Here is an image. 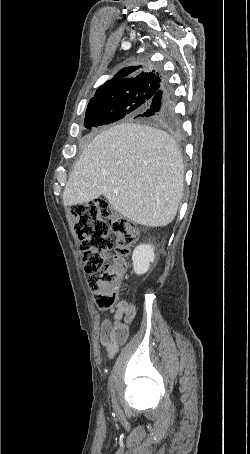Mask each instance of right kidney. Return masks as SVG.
<instances>
[{
  "mask_svg": "<svg viewBox=\"0 0 250 454\" xmlns=\"http://www.w3.org/2000/svg\"><path fill=\"white\" fill-rule=\"evenodd\" d=\"M154 247L151 244H140L132 254L133 269L137 275H142L150 268V263L154 262Z\"/></svg>",
  "mask_w": 250,
  "mask_h": 454,
  "instance_id": "obj_1",
  "label": "right kidney"
}]
</instances>
